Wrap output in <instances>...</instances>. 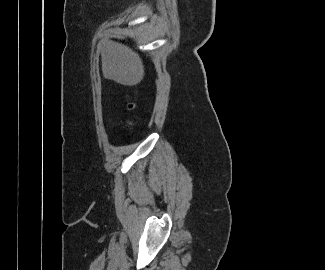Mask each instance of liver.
Returning a JSON list of instances; mask_svg holds the SVG:
<instances>
[{"label": "liver", "instance_id": "liver-1", "mask_svg": "<svg viewBox=\"0 0 325 270\" xmlns=\"http://www.w3.org/2000/svg\"><path fill=\"white\" fill-rule=\"evenodd\" d=\"M103 77L126 86L140 83L144 66L138 53L118 42L100 46Z\"/></svg>", "mask_w": 325, "mask_h": 270}]
</instances>
